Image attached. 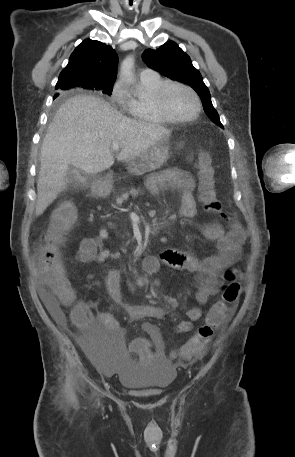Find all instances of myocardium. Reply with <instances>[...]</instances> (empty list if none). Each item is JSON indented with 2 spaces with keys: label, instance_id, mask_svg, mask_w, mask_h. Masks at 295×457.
Here are the masks:
<instances>
[{
  "label": "myocardium",
  "instance_id": "myocardium-1",
  "mask_svg": "<svg viewBox=\"0 0 295 457\" xmlns=\"http://www.w3.org/2000/svg\"><path fill=\"white\" fill-rule=\"evenodd\" d=\"M172 87L183 88V89L187 90L193 96V98L195 100L196 108L192 115H190L188 117H175L169 112V110L167 109V106H166V94H167L168 90ZM154 102H155V106H156L158 112L168 122H172V123H185V122L195 120L199 116V114L201 112V107H202L201 100H200L198 94L196 93V91L192 87H190L186 84H183L181 82H176V81H165L162 85H160V87L155 92Z\"/></svg>",
  "mask_w": 295,
  "mask_h": 457
}]
</instances>
